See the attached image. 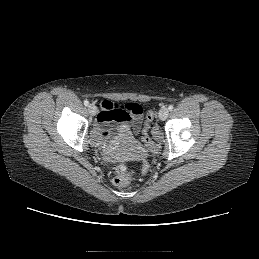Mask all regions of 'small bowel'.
Masks as SVG:
<instances>
[{
  "mask_svg": "<svg viewBox=\"0 0 259 259\" xmlns=\"http://www.w3.org/2000/svg\"><path fill=\"white\" fill-rule=\"evenodd\" d=\"M97 116L96 132L98 139L103 141L113 132L128 136L131 132L138 133L143 115V109L138 103L118 105L110 100L101 104Z\"/></svg>",
  "mask_w": 259,
  "mask_h": 259,
  "instance_id": "small-bowel-1",
  "label": "small bowel"
}]
</instances>
